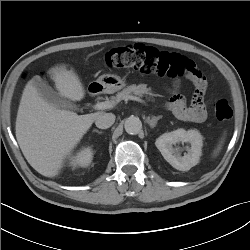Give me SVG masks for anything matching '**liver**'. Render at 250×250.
I'll use <instances>...</instances> for the list:
<instances>
[{
  "label": "liver",
  "instance_id": "6515ba94",
  "mask_svg": "<svg viewBox=\"0 0 250 250\" xmlns=\"http://www.w3.org/2000/svg\"><path fill=\"white\" fill-rule=\"evenodd\" d=\"M59 95L72 101L85 96L78 75L65 65L51 68ZM103 112L78 115L48 103L30 81L22 94L16 118V139L28 163L41 175L53 178L66 157Z\"/></svg>",
  "mask_w": 250,
  "mask_h": 250
}]
</instances>
